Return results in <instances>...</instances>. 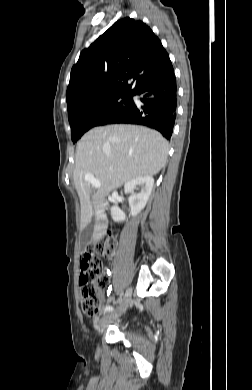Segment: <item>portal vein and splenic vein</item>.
<instances>
[{
  "mask_svg": "<svg viewBox=\"0 0 252 390\" xmlns=\"http://www.w3.org/2000/svg\"><path fill=\"white\" fill-rule=\"evenodd\" d=\"M85 181H88L94 188H99L101 183L92 174H86L84 177Z\"/></svg>",
  "mask_w": 252,
  "mask_h": 390,
  "instance_id": "obj_1",
  "label": "portal vein and splenic vein"
}]
</instances>
